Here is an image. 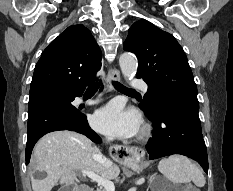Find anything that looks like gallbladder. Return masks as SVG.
<instances>
[{"mask_svg": "<svg viewBox=\"0 0 233 191\" xmlns=\"http://www.w3.org/2000/svg\"><path fill=\"white\" fill-rule=\"evenodd\" d=\"M58 191H73V185L62 186Z\"/></svg>", "mask_w": 233, "mask_h": 191, "instance_id": "bac80fb5", "label": "gallbladder"}]
</instances>
